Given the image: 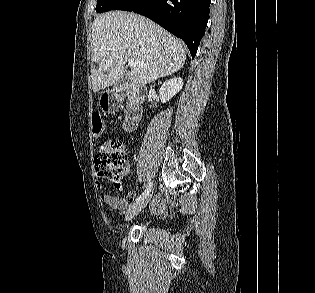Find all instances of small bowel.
Returning <instances> with one entry per match:
<instances>
[{"label": "small bowel", "instance_id": "c3829d8e", "mask_svg": "<svg viewBox=\"0 0 315 293\" xmlns=\"http://www.w3.org/2000/svg\"><path fill=\"white\" fill-rule=\"evenodd\" d=\"M110 141L106 142L101 149H105L109 146ZM96 188L98 190H102L103 185L101 183V181L96 180ZM130 195H133V192H130ZM101 201L108 205L111 209L113 210H121L124 209L128 203H129V198H125V197H116L113 195H109V194H102L100 196ZM151 209L153 212L155 213H160L162 211H164L165 209V204L161 199L156 200L152 206Z\"/></svg>", "mask_w": 315, "mask_h": 293}]
</instances>
